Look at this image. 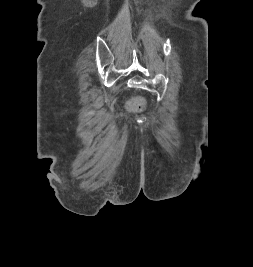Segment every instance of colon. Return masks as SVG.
Masks as SVG:
<instances>
[{"label": "colon", "instance_id": "5ec220e1", "mask_svg": "<svg viewBox=\"0 0 253 267\" xmlns=\"http://www.w3.org/2000/svg\"><path fill=\"white\" fill-rule=\"evenodd\" d=\"M132 105H133L134 107H140V106H141V101H140V100H134V101L132 102Z\"/></svg>", "mask_w": 253, "mask_h": 267}]
</instances>
